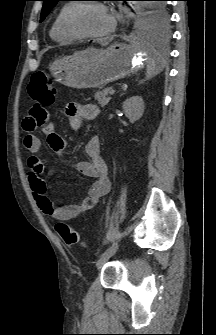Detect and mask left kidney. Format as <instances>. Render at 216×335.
<instances>
[{
	"label": "left kidney",
	"mask_w": 216,
	"mask_h": 335,
	"mask_svg": "<svg viewBox=\"0 0 216 335\" xmlns=\"http://www.w3.org/2000/svg\"><path fill=\"white\" fill-rule=\"evenodd\" d=\"M122 107L126 117L131 123H134L142 117L145 108L143 99L140 96L128 98Z\"/></svg>",
	"instance_id": "obj_1"
}]
</instances>
